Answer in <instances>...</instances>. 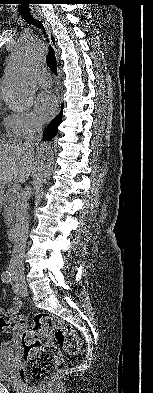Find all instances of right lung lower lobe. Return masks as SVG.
Wrapping results in <instances>:
<instances>
[{"instance_id":"1","label":"right lung lower lobe","mask_w":153,"mask_h":393,"mask_svg":"<svg viewBox=\"0 0 153 393\" xmlns=\"http://www.w3.org/2000/svg\"><path fill=\"white\" fill-rule=\"evenodd\" d=\"M61 120H62V117L59 115L51 121V123L48 125V127L43 132L44 139H46L48 141L57 134L58 126L61 123Z\"/></svg>"}]
</instances>
